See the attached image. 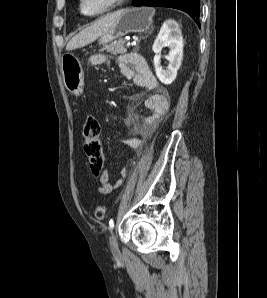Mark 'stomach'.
<instances>
[{"mask_svg": "<svg viewBox=\"0 0 267 298\" xmlns=\"http://www.w3.org/2000/svg\"><path fill=\"white\" fill-rule=\"evenodd\" d=\"M113 25L100 38V44L109 43L128 33H143L152 23L153 10L148 7L128 8L119 11ZM61 70L66 89L74 94L83 92L84 72L77 57L66 53L61 58Z\"/></svg>", "mask_w": 267, "mask_h": 298, "instance_id": "1", "label": "stomach"}]
</instances>
